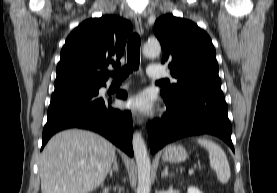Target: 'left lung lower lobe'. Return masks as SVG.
Instances as JSON below:
<instances>
[{
    "instance_id": "left-lung-lower-lobe-1",
    "label": "left lung lower lobe",
    "mask_w": 277,
    "mask_h": 193,
    "mask_svg": "<svg viewBox=\"0 0 277 193\" xmlns=\"http://www.w3.org/2000/svg\"><path fill=\"white\" fill-rule=\"evenodd\" d=\"M167 112L148 128L151 153L185 136L211 134L234 151L228 107L219 86H202L186 91L176 101L165 99Z\"/></svg>"
}]
</instances>
